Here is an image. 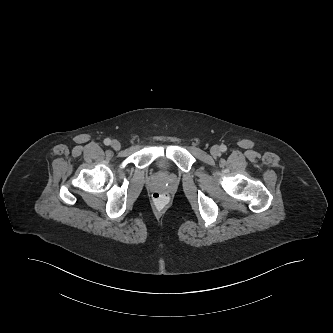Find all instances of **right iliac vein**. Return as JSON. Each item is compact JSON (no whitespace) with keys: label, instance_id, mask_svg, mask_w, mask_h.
<instances>
[{"label":"right iliac vein","instance_id":"obj_1","mask_svg":"<svg viewBox=\"0 0 333 333\" xmlns=\"http://www.w3.org/2000/svg\"><path fill=\"white\" fill-rule=\"evenodd\" d=\"M111 146L114 150H119L121 148V144L118 140H113Z\"/></svg>","mask_w":333,"mask_h":333}]
</instances>
